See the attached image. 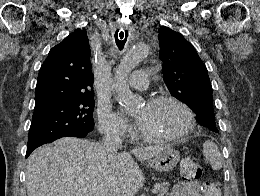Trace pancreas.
<instances>
[{
    "label": "pancreas",
    "instance_id": "pancreas-1",
    "mask_svg": "<svg viewBox=\"0 0 260 196\" xmlns=\"http://www.w3.org/2000/svg\"><path fill=\"white\" fill-rule=\"evenodd\" d=\"M169 182H163V184H157L154 188V192H157V196H167Z\"/></svg>",
    "mask_w": 260,
    "mask_h": 196
}]
</instances>
